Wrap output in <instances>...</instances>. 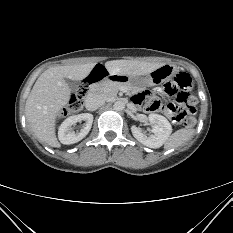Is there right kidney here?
I'll return each mask as SVG.
<instances>
[{
  "instance_id": "ca27d5eb",
  "label": "right kidney",
  "mask_w": 233,
  "mask_h": 233,
  "mask_svg": "<svg viewBox=\"0 0 233 233\" xmlns=\"http://www.w3.org/2000/svg\"><path fill=\"white\" fill-rule=\"evenodd\" d=\"M84 121L83 128L76 133L71 126L77 122ZM93 123V115L90 113H82L70 116L64 120L58 130V138L62 144L70 145L82 140L90 131Z\"/></svg>"
}]
</instances>
